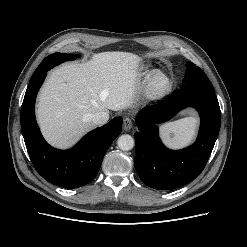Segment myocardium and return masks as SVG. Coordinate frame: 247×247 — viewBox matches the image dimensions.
<instances>
[{
  "mask_svg": "<svg viewBox=\"0 0 247 247\" xmlns=\"http://www.w3.org/2000/svg\"><path fill=\"white\" fill-rule=\"evenodd\" d=\"M161 78L166 82V85L158 89L155 86V81ZM172 89V80L171 78L162 71H154L150 73L144 82V92L145 94L152 99H159L166 96Z\"/></svg>",
  "mask_w": 247,
  "mask_h": 247,
  "instance_id": "obj_1",
  "label": "myocardium"
}]
</instances>
